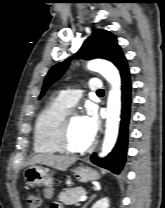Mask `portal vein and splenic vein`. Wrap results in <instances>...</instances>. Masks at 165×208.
<instances>
[{"label":"portal vein and splenic vein","mask_w":165,"mask_h":208,"mask_svg":"<svg viewBox=\"0 0 165 208\" xmlns=\"http://www.w3.org/2000/svg\"><path fill=\"white\" fill-rule=\"evenodd\" d=\"M87 199V196L86 195H82L79 199V201H85Z\"/></svg>","instance_id":"portal-vein-and-splenic-vein-1"}]
</instances>
